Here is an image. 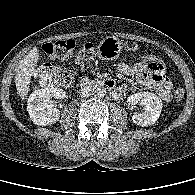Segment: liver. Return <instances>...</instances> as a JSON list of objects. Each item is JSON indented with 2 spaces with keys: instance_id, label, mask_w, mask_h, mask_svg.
<instances>
[{
  "instance_id": "obj_1",
  "label": "liver",
  "mask_w": 195,
  "mask_h": 195,
  "mask_svg": "<svg viewBox=\"0 0 195 195\" xmlns=\"http://www.w3.org/2000/svg\"><path fill=\"white\" fill-rule=\"evenodd\" d=\"M39 60V50L35 47L25 56L16 69L15 83L18 95L24 99L30 90L31 76Z\"/></svg>"
}]
</instances>
